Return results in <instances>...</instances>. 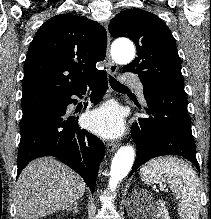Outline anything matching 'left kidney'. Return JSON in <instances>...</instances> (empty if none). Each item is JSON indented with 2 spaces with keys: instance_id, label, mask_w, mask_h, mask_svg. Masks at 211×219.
<instances>
[{
  "instance_id": "1",
  "label": "left kidney",
  "mask_w": 211,
  "mask_h": 219,
  "mask_svg": "<svg viewBox=\"0 0 211 219\" xmlns=\"http://www.w3.org/2000/svg\"><path fill=\"white\" fill-rule=\"evenodd\" d=\"M149 216L151 219H170L169 213L165 207V203L162 200H157L153 202Z\"/></svg>"
}]
</instances>
